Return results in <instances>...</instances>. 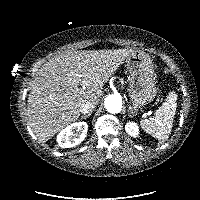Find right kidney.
<instances>
[{"instance_id": "obj_1", "label": "right kidney", "mask_w": 200, "mask_h": 200, "mask_svg": "<svg viewBox=\"0 0 200 200\" xmlns=\"http://www.w3.org/2000/svg\"><path fill=\"white\" fill-rule=\"evenodd\" d=\"M88 124L75 122L68 125L57 135V143L61 148H71L80 144L87 135Z\"/></svg>"}]
</instances>
